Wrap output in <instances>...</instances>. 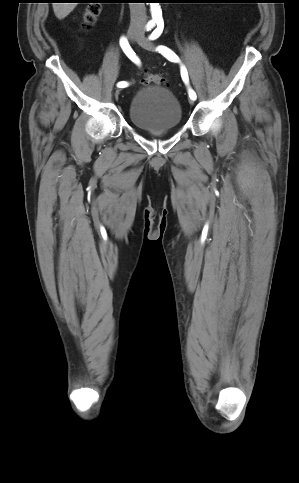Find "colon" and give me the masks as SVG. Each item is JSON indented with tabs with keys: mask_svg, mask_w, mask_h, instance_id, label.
Wrapping results in <instances>:
<instances>
[{
	"mask_svg": "<svg viewBox=\"0 0 299 483\" xmlns=\"http://www.w3.org/2000/svg\"><path fill=\"white\" fill-rule=\"evenodd\" d=\"M100 14V6L98 4H90L84 11L81 19V28L89 30L96 22ZM143 83L154 85H167V79L160 74L146 73L143 78Z\"/></svg>",
	"mask_w": 299,
	"mask_h": 483,
	"instance_id": "colon-1",
	"label": "colon"
}]
</instances>
